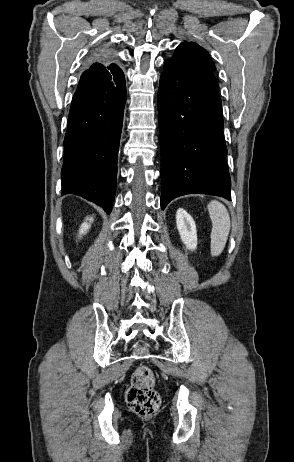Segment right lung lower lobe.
I'll use <instances>...</instances> for the list:
<instances>
[{"label": "right lung lower lobe", "instance_id": "right-lung-lower-lobe-1", "mask_svg": "<svg viewBox=\"0 0 294 462\" xmlns=\"http://www.w3.org/2000/svg\"><path fill=\"white\" fill-rule=\"evenodd\" d=\"M125 101L123 73L108 81L78 85L64 139L62 194L80 195L108 214L116 193Z\"/></svg>", "mask_w": 294, "mask_h": 462}]
</instances>
